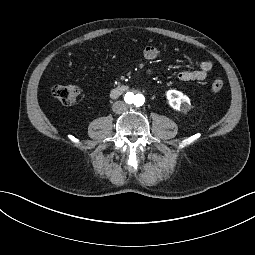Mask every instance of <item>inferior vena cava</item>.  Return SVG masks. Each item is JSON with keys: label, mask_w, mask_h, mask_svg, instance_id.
<instances>
[{"label": "inferior vena cava", "mask_w": 255, "mask_h": 255, "mask_svg": "<svg viewBox=\"0 0 255 255\" xmlns=\"http://www.w3.org/2000/svg\"><path fill=\"white\" fill-rule=\"evenodd\" d=\"M127 108V104L123 101H116L112 106V110L117 114L124 112Z\"/></svg>", "instance_id": "obj_1"}]
</instances>
